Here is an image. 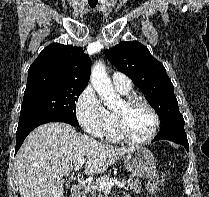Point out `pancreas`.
<instances>
[{
    "label": "pancreas",
    "mask_w": 209,
    "mask_h": 197,
    "mask_svg": "<svg viewBox=\"0 0 209 197\" xmlns=\"http://www.w3.org/2000/svg\"><path fill=\"white\" fill-rule=\"evenodd\" d=\"M110 176L104 175L102 176L97 182L89 183L87 186H85L86 193H90L92 197H102L101 194V188L99 187L98 182L100 180L109 181ZM128 186L130 187V190L134 193H140V182L138 179H135L133 177H130L128 180Z\"/></svg>",
    "instance_id": "pancreas-1"
}]
</instances>
